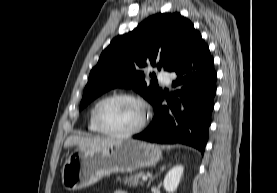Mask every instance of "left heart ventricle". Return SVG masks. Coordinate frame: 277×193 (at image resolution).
<instances>
[{
	"label": "left heart ventricle",
	"instance_id": "left-heart-ventricle-1",
	"mask_svg": "<svg viewBox=\"0 0 277 193\" xmlns=\"http://www.w3.org/2000/svg\"><path fill=\"white\" fill-rule=\"evenodd\" d=\"M142 107L135 101L116 99L104 103L98 112L102 125L115 132H123L137 126L142 118Z\"/></svg>",
	"mask_w": 277,
	"mask_h": 193
}]
</instances>
